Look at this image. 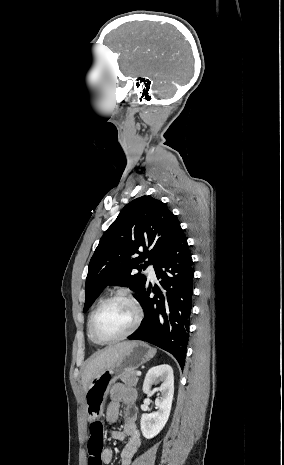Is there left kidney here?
<instances>
[{
	"instance_id": "obj_1",
	"label": "left kidney",
	"mask_w": 284,
	"mask_h": 465,
	"mask_svg": "<svg viewBox=\"0 0 284 465\" xmlns=\"http://www.w3.org/2000/svg\"><path fill=\"white\" fill-rule=\"evenodd\" d=\"M157 391H161V397H157L155 405L158 411L155 413H143L140 421L141 431L145 439H153L156 437L163 427H165L173 401L174 395V375L173 369L170 365H158V367H152L149 369L145 381L143 383V393L146 395H152L154 391H150L151 385L160 383Z\"/></svg>"
}]
</instances>
